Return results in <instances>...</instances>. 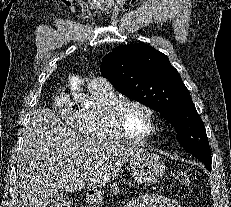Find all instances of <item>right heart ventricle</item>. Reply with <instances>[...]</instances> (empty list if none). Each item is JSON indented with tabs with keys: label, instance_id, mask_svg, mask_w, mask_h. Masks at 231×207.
<instances>
[{
	"label": "right heart ventricle",
	"instance_id": "obj_1",
	"mask_svg": "<svg viewBox=\"0 0 231 207\" xmlns=\"http://www.w3.org/2000/svg\"><path fill=\"white\" fill-rule=\"evenodd\" d=\"M92 107L76 112L75 128L85 139L97 142H119L122 138L116 133L109 121V111L118 101V97L110 88L89 87Z\"/></svg>",
	"mask_w": 231,
	"mask_h": 207
}]
</instances>
